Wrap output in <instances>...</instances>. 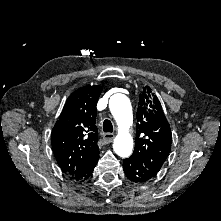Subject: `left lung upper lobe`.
Returning a JSON list of instances; mask_svg holds the SVG:
<instances>
[{"instance_id": "5c2ea615", "label": "left lung upper lobe", "mask_w": 221, "mask_h": 221, "mask_svg": "<svg viewBox=\"0 0 221 221\" xmlns=\"http://www.w3.org/2000/svg\"><path fill=\"white\" fill-rule=\"evenodd\" d=\"M137 121L131 158L157 174L169 155L172 134L161 104L149 87L140 94Z\"/></svg>"}]
</instances>
